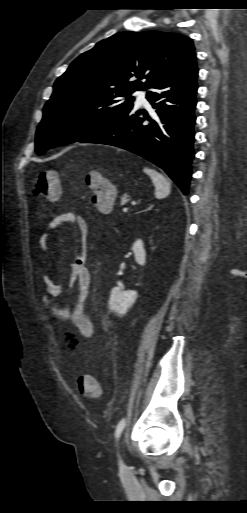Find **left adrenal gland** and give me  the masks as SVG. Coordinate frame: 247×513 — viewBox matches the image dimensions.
<instances>
[{"label":"left adrenal gland","mask_w":247,"mask_h":513,"mask_svg":"<svg viewBox=\"0 0 247 513\" xmlns=\"http://www.w3.org/2000/svg\"><path fill=\"white\" fill-rule=\"evenodd\" d=\"M154 207V205H150L147 210H151Z\"/></svg>","instance_id":"1"}]
</instances>
